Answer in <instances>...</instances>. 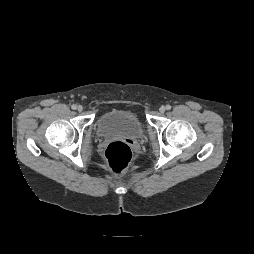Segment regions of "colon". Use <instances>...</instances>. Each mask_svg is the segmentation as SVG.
Masks as SVG:
<instances>
[{"instance_id":"1","label":"colon","mask_w":254,"mask_h":254,"mask_svg":"<svg viewBox=\"0 0 254 254\" xmlns=\"http://www.w3.org/2000/svg\"><path fill=\"white\" fill-rule=\"evenodd\" d=\"M132 151L128 143L115 141L104 151V161L107 170L115 176L124 175L131 163Z\"/></svg>"}]
</instances>
